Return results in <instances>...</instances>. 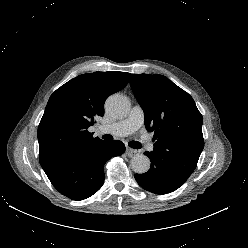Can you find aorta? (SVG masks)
<instances>
[{
  "label": "aorta",
  "mask_w": 248,
  "mask_h": 248,
  "mask_svg": "<svg viewBox=\"0 0 248 248\" xmlns=\"http://www.w3.org/2000/svg\"><path fill=\"white\" fill-rule=\"evenodd\" d=\"M106 109L111 116L122 118L129 113L130 104L125 96L115 94L107 99ZM131 168L137 174L146 173L150 169V160L144 154H136L131 159Z\"/></svg>",
  "instance_id": "aorta-1"
}]
</instances>
